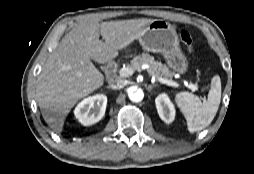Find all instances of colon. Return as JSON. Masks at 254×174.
I'll return each instance as SVG.
<instances>
[{
	"instance_id": "5ec220e1",
	"label": "colon",
	"mask_w": 254,
	"mask_h": 174,
	"mask_svg": "<svg viewBox=\"0 0 254 174\" xmlns=\"http://www.w3.org/2000/svg\"><path fill=\"white\" fill-rule=\"evenodd\" d=\"M180 40L183 43V45L186 47L189 55L191 57L196 56V50L193 46V40L191 34L186 30H180L179 31Z\"/></svg>"
}]
</instances>
